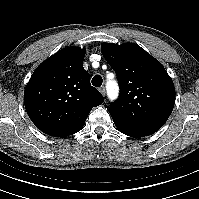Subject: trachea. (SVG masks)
Returning <instances> with one entry per match:
<instances>
[{"mask_svg":"<svg viewBox=\"0 0 199 199\" xmlns=\"http://www.w3.org/2000/svg\"><path fill=\"white\" fill-rule=\"evenodd\" d=\"M103 83V79L100 75H95L93 78H92V85L95 86V87H100Z\"/></svg>","mask_w":199,"mask_h":199,"instance_id":"1","label":"trachea"}]
</instances>
